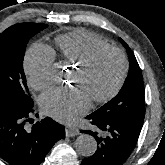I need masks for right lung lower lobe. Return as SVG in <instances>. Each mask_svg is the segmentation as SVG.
I'll use <instances>...</instances> for the list:
<instances>
[{
    "label": "right lung lower lobe",
    "instance_id": "obj_1",
    "mask_svg": "<svg viewBox=\"0 0 165 165\" xmlns=\"http://www.w3.org/2000/svg\"><path fill=\"white\" fill-rule=\"evenodd\" d=\"M33 106L0 101V157L10 165H39L65 128L49 117L27 128Z\"/></svg>",
    "mask_w": 165,
    "mask_h": 165
}]
</instances>
